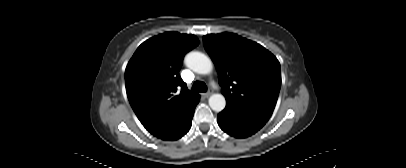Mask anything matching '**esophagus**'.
Returning a JSON list of instances; mask_svg holds the SVG:
<instances>
[{
    "label": "esophagus",
    "instance_id": "obj_1",
    "mask_svg": "<svg viewBox=\"0 0 406 168\" xmlns=\"http://www.w3.org/2000/svg\"><path fill=\"white\" fill-rule=\"evenodd\" d=\"M212 93L213 91L210 89L208 92L204 93L203 96L209 97Z\"/></svg>",
    "mask_w": 406,
    "mask_h": 168
}]
</instances>
